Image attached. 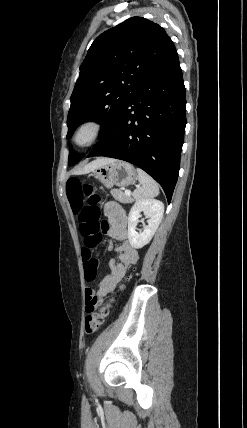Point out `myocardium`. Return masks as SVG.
I'll list each match as a JSON object with an SVG mask.
<instances>
[{"instance_id":"obj_1","label":"myocardium","mask_w":247,"mask_h":428,"mask_svg":"<svg viewBox=\"0 0 247 428\" xmlns=\"http://www.w3.org/2000/svg\"><path fill=\"white\" fill-rule=\"evenodd\" d=\"M102 131L103 125L99 120L95 118L86 119L76 127L72 142L78 148H88L99 140ZM83 136H85L84 139Z\"/></svg>"}]
</instances>
